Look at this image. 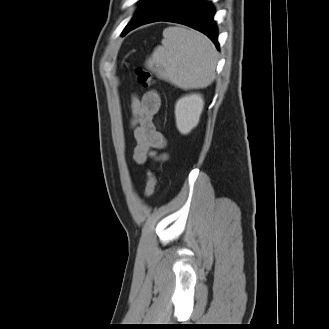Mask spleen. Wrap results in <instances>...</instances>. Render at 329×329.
I'll list each match as a JSON object with an SVG mask.
<instances>
[{
  "instance_id": "spleen-1",
  "label": "spleen",
  "mask_w": 329,
  "mask_h": 329,
  "mask_svg": "<svg viewBox=\"0 0 329 329\" xmlns=\"http://www.w3.org/2000/svg\"><path fill=\"white\" fill-rule=\"evenodd\" d=\"M162 46L146 61L148 69L182 89H200L216 76L217 51L203 34L184 27L163 31Z\"/></svg>"
}]
</instances>
